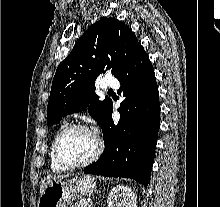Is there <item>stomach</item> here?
Here are the masks:
<instances>
[{
    "label": "stomach",
    "instance_id": "1",
    "mask_svg": "<svg viewBox=\"0 0 220 207\" xmlns=\"http://www.w3.org/2000/svg\"><path fill=\"white\" fill-rule=\"evenodd\" d=\"M96 188L95 179L88 175L51 180L39 197L38 207H68L76 197L90 195Z\"/></svg>",
    "mask_w": 220,
    "mask_h": 207
}]
</instances>
